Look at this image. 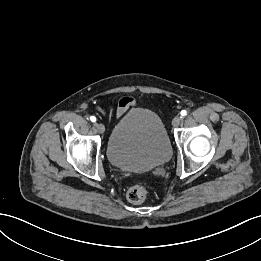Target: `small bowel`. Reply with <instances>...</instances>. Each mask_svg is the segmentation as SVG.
Masks as SVG:
<instances>
[{"label":"small bowel","mask_w":261,"mask_h":261,"mask_svg":"<svg viewBox=\"0 0 261 261\" xmlns=\"http://www.w3.org/2000/svg\"><path fill=\"white\" fill-rule=\"evenodd\" d=\"M135 105V99L131 96H124L122 97L115 110V116L121 117L126 111Z\"/></svg>","instance_id":"1"}]
</instances>
